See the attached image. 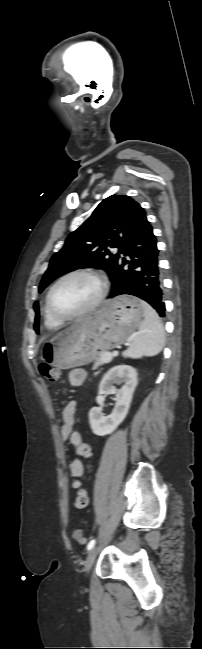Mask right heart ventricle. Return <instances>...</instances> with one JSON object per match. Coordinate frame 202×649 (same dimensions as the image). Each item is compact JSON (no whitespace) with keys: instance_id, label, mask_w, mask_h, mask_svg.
Returning <instances> with one entry per match:
<instances>
[{"instance_id":"1","label":"right heart ventricle","mask_w":202,"mask_h":649,"mask_svg":"<svg viewBox=\"0 0 202 649\" xmlns=\"http://www.w3.org/2000/svg\"><path fill=\"white\" fill-rule=\"evenodd\" d=\"M43 319H44V324L47 328L49 329H56L62 325V322L54 319L48 312L46 304L44 305L43 308Z\"/></svg>"}]
</instances>
